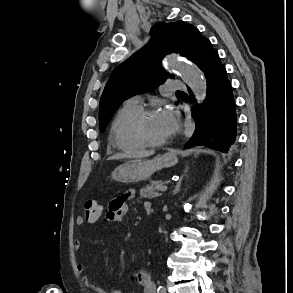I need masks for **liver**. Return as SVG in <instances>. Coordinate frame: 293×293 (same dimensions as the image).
Here are the masks:
<instances>
[{"label":"liver","mask_w":293,"mask_h":293,"mask_svg":"<svg viewBox=\"0 0 293 293\" xmlns=\"http://www.w3.org/2000/svg\"><path fill=\"white\" fill-rule=\"evenodd\" d=\"M153 154H154L153 151H142V152H139L138 154H136L135 156L136 157H148V156H151ZM125 157H126L125 154H114L113 156H110L108 158V160H119V159H122V158H125Z\"/></svg>","instance_id":"1"}]
</instances>
